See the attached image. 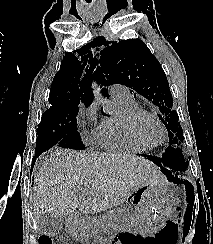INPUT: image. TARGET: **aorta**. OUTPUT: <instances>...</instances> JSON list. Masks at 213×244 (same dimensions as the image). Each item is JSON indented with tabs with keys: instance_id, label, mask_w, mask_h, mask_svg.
Segmentation results:
<instances>
[{
	"instance_id": "aorta-1",
	"label": "aorta",
	"mask_w": 213,
	"mask_h": 244,
	"mask_svg": "<svg viewBox=\"0 0 213 244\" xmlns=\"http://www.w3.org/2000/svg\"><path fill=\"white\" fill-rule=\"evenodd\" d=\"M92 89H93V93H94V97H95V100L99 103H102V104H106L107 101L106 99L103 97L102 93H101V90L100 88L98 87L97 83L94 82L93 85H92Z\"/></svg>"
}]
</instances>
